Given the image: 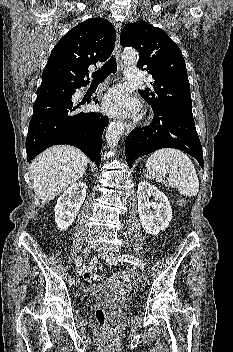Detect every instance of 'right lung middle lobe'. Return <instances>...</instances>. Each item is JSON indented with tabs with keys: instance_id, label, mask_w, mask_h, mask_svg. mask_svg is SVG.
I'll return each mask as SVG.
<instances>
[{
	"instance_id": "dd1d6c3e",
	"label": "right lung middle lobe",
	"mask_w": 233,
	"mask_h": 352,
	"mask_svg": "<svg viewBox=\"0 0 233 352\" xmlns=\"http://www.w3.org/2000/svg\"><path fill=\"white\" fill-rule=\"evenodd\" d=\"M74 93L75 88L67 86L40 87L37 90L36 101L66 99L72 97Z\"/></svg>"
}]
</instances>
